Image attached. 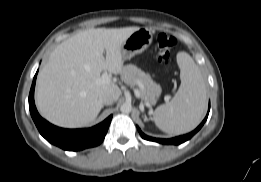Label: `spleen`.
Returning <instances> with one entry per match:
<instances>
[{
  "mask_svg": "<svg viewBox=\"0 0 261 182\" xmlns=\"http://www.w3.org/2000/svg\"><path fill=\"white\" fill-rule=\"evenodd\" d=\"M180 87L173 99L157 107L153 114L156 126L168 134L193 130L202 120L207 105V89L199 67L186 52L177 54Z\"/></svg>",
  "mask_w": 261,
  "mask_h": 182,
  "instance_id": "obj_1",
  "label": "spleen"
}]
</instances>
